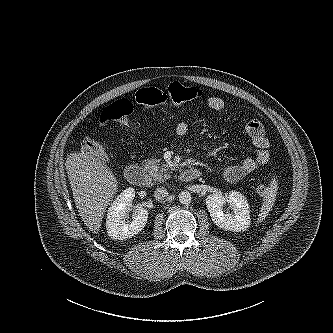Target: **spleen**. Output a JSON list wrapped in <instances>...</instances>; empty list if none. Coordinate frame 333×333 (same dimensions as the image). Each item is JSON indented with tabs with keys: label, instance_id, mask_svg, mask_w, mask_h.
Here are the masks:
<instances>
[{
	"label": "spleen",
	"instance_id": "spleen-1",
	"mask_svg": "<svg viewBox=\"0 0 333 333\" xmlns=\"http://www.w3.org/2000/svg\"><path fill=\"white\" fill-rule=\"evenodd\" d=\"M277 194V181L274 179L271 181L270 187H268L265 191H263V205L261 206V210L258 216V222H262L271 211L275 198Z\"/></svg>",
	"mask_w": 333,
	"mask_h": 333
}]
</instances>
